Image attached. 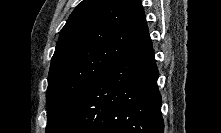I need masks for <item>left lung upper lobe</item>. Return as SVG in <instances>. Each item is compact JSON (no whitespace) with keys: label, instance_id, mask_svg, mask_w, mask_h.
I'll use <instances>...</instances> for the list:
<instances>
[{"label":"left lung upper lobe","instance_id":"obj_1","mask_svg":"<svg viewBox=\"0 0 221 133\" xmlns=\"http://www.w3.org/2000/svg\"><path fill=\"white\" fill-rule=\"evenodd\" d=\"M148 33L140 0H83L51 59L46 133H56L95 78Z\"/></svg>","mask_w":221,"mask_h":133}]
</instances>
